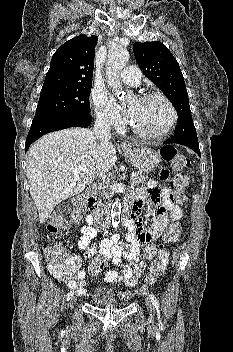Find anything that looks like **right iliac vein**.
I'll return each instance as SVG.
<instances>
[{"mask_svg": "<svg viewBox=\"0 0 233 352\" xmlns=\"http://www.w3.org/2000/svg\"><path fill=\"white\" fill-rule=\"evenodd\" d=\"M75 302H76V298L72 296L69 301V307L72 308L74 306Z\"/></svg>", "mask_w": 233, "mask_h": 352, "instance_id": "1", "label": "right iliac vein"}]
</instances>
